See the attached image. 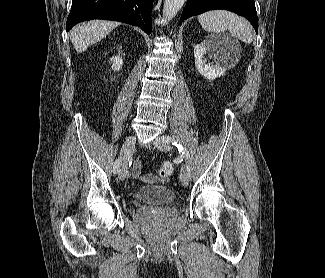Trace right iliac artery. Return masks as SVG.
I'll list each match as a JSON object with an SVG mask.
<instances>
[{
    "label": "right iliac artery",
    "mask_w": 325,
    "mask_h": 278,
    "mask_svg": "<svg viewBox=\"0 0 325 278\" xmlns=\"http://www.w3.org/2000/svg\"><path fill=\"white\" fill-rule=\"evenodd\" d=\"M121 162H122V158H121V157L118 158V159L115 161L114 166H113V173H114V174H116V173L118 172V168H119Z\"/></svg>",
    "instance_id": "1"
}]
</instances>
